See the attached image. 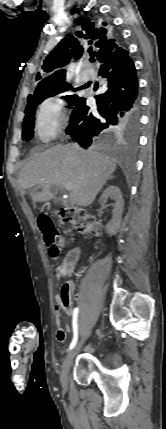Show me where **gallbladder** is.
<instances>
[{"mask_svg":"<svg viewBox=\"0 0 166 429\" xmlns=\"http://www.w3.org/2000/svg\"><path fill=\"white\" fill-rule=\"evenodd\" d=\"M58 201L61 202V204H63L64 206H70V203L65 199H59Z\"/></svg>","mask_w":166,"mask_h":429,"instance_id":"bac80fb5","label":"gallbladder"}]
</instances>
